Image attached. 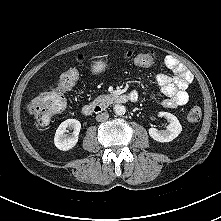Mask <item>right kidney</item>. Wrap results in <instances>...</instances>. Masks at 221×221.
Segmentation results:
<instances>
[{
    "mask_svg": "<svg viewBox=\"0 0 221 221\" xmlns=\"http://www.w3.org/2000/svg\"><path fill=\"white\" fill-rule=\"evenodd\" d=\"M67 129H73L72 136H68ZM81 129L80 121L76 119H67L62 122L56 130L54 137L55 146L63 151L72 149L78 142V135Z\"/></svg>",
    "mask_w": 221,
    "mask_h": 221,
    "instance_id": "obj_1",
    "label": "right kidney"
}]
</instances>
